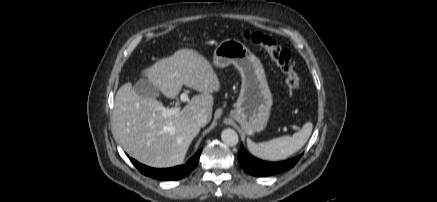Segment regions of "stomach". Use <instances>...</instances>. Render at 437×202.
Returning <instances> with one entry per match:
<instances>
[{
    "mask_svg": "<svg viewBox=\"0 0 437 202\" xmlns=\"http://www.w3.org/2000/svg\"><path fill=\"white\" fill-rule=\"evenodd\" d=\"M213 63L219 68L233 64L242 78L240 94L230 115L248 135L263 131L273 99L261 61L242 42L226 39L214 50Z\"/></svg>",
    "mask_w": 437,
    "mask_h": 202,
    "instance_id": "obj_1",
    "label": "stomach"
}]
</instances>
